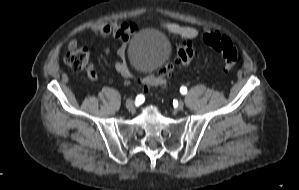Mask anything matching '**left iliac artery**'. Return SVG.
I'll use <instances>...</instances> for the list:
<instances>
[{
    "label": "left iliac artery",
    "mask_w": 299,
    "mask_h": 190,
    "mask_svg": "<svg viewBox=\"0 0 299 190\" xmlns=\"http://www.w3.org/2000/svg\"><path fill=\"white\" fill-rule=\"evenodd\" d=\"M180 92H181V94H186L187 93V88L186 87H184V86H182L181 88H180Z\"/></svg>",
    "instance_id": "left-iliac-artery-1"
}]
</instances>
